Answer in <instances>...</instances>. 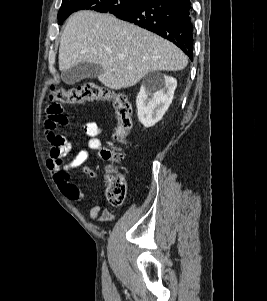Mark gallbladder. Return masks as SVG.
<instances>
[{
    "label": "gallbladder",
    "instance_id": "obj_1",
    "mask_svg": "<svg viewBox=\"0 0 267 301\" xmlns=\"http://www.w3.org/2000/svg\"><path fill=\"white\" fill-rule=\"evenodd\" d=\"M102 72L103 68L98 64L80 62L73 67L64 70L61 74V78L66 84L74 85L83 79H95Z\"/></svg>",
    "mask_w": 267,
    "mask_h": 301
}]
</instances>
